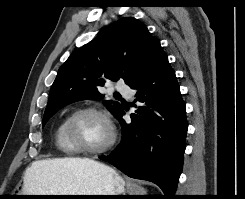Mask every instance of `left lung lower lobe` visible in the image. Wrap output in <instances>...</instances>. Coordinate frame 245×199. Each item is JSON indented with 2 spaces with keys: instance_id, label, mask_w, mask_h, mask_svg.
I'll use <instances>...</instances> for the list:
<instances>
[{
  "instance_id": "obj_1",
  "label": "left lung lower lobe",
  "mask_w": 245,
  "mask_h": 199,
  "mask_svg": "<svg viewBox=\"0 0 245 199\" xmlns=\"http://www.w3.org/2000/svg\"><path fill=\"white\" fill-rule=\"evenodd\" d=\"M142 106L131 114V123L119 119L121 143L104 160L129 177L152 181L171 199L182 172L187 133L186 108L175 72L161 50L147 71L130 85Z\"/></svg>"
}]
</instances>
